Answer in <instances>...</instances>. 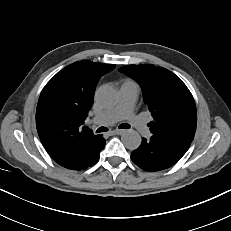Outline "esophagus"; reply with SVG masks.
I'll use <instances>...</instances> for the list:
<instances>
[{
    "label": "esophagus",
    "mask_w": 231,
    "mask_h": 231,
    "mask_svg": "<svg viewBox=\"0 0 231 231\" xmlns=\"http://www.w3.org/2000/svg\"><path fill=\"white\" fill-rule=\"evenodd\" d=\"M122 133H124V130H122V129H116V130H113V131L110 132L111 135H113V134H122Z\"/></svg>",
    "instance_id": "34e87169"
}]
</instances>
